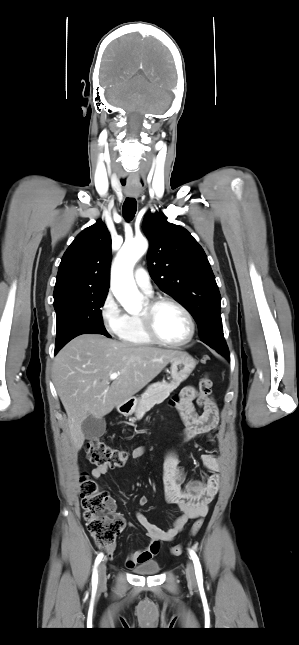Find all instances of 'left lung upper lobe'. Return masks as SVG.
I'll return each instance as SVG.
<instances>
[{"label":"left lung upper lobe","instance_id":"1","mask_svg":"<svg viewBox=\"0 0 299 645\" xmlns=\"http://www.w3.org/2000/svg\"><path fill=\"white\" fill-rule=\"evenodd\" d=\"M142 228L149 239L147 260L152 279L190 311L201 341L223 355L229 354L220 292L202 247L185 228L169 223L162 212L148 214Z\"/></svg>","mask_w":299,"mask_h":645}]
</instances>
